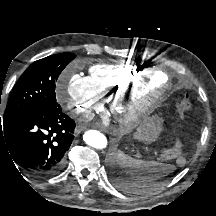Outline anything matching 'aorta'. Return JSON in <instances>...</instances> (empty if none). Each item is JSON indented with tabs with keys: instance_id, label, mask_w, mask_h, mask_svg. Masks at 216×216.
<instances>
[{
	"instance_id": "1",
	"label": "aorta",
	"mask_w": 216,
	"mask_h": 216,
	"mask_svg": "<svg viewBox=\"0 0 216 216\" xmlns=\"http://www.w3.org/2000/svg\"><path fill=\"white\" fill-rule=\"evenodd\" d=\"M85 143L96 149H104L108 145L107 138L97 130H88L83 135Z\"/></svg>"
}]
</instances>
